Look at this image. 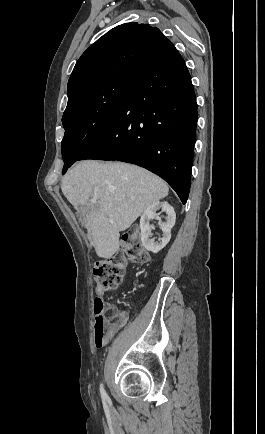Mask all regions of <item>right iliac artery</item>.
Instances as JSON below:
<instances>
[{"instance_id":"right-iliac-artery-1","label":"right iliac artery","mask_w":265,"mask_h":434,"mask_svg":"<svg viewBox=\"0 0 265 434\" xmlns=\"http://www.w3.org/2000/svg\"><path fill=\"white\" fill-rule=\"evenodd\" d=\"M100 392H101V397H102L103 401H109V397L106 394L102 384L100 385Z\"/></svg>"}]
</instances>
